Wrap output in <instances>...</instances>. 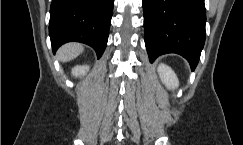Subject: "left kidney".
Here are the masks:
<instances>
[{"mask_svg": "<svg viewBox=\"0 0 243 145\" xmlns=\"http://www.w3.org/2000/svg\"><path fill=\"white\" fill-rule=\"evenodd\" d=\"M158 74L161 81L165 84L168 89H175L179 86L178 78L175 72L167 65L160 64L158 66Z\"/></svg>", "mask_w": 243, "mask_h": 145, "instance_id": "left-kidney-1", "label": "left kidney"}]
</instances>
